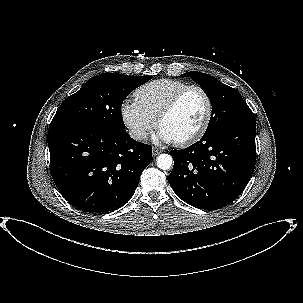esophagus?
Listing matches in <instances>:
<instances>
[{
  "label": "esophagus",
  "mask_w": 303,
  "mask_h": 303,
  "mask_svg": "<svg viewBox=\"0 0 303 303\" xmlns=\"http://www.w3.org/2000/svg\"><path fill=\"white\" fill-rule=\"evenodd\" d=\"M161 152H162V150H160L158 148H153L152 155L155 157V156L159 155Z\"/></svg>",
  "instance_id": "34e87169"
}]
</instances>
